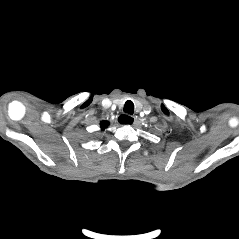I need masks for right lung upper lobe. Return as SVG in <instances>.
Listing matches in <instances>:
<instances>
[{
	"mask_svg": "<svg viewBox=\"0 0 239 239\" xmlns=\"http://www.w3.org/2000/svg\"><path fill=\"white\" fill-rule=\"evenodd\" d=\"M107 126H108V122H107V121L101 122V128H102V130L105 129Z\"/></svg>",
	"mask_w": 239,
	"mask_h": 239,
	"instance_id": "right-lung-upper-lobe-1",
	"label": "right lung upper lobe"
}]
</instances>
